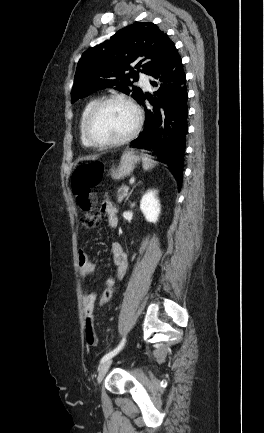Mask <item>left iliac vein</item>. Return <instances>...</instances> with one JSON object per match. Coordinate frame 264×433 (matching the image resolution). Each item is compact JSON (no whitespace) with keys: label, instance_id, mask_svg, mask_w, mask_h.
<instances>
[{"label":"left iliac vein","instance_id":"4c4485c4","mask_svg":"<svg viewBox=\"0 0 264 433\" xmlns=\"http://www.w3.org/2000/svg\"><path fill=\"white\" fill-rule=\"evenodd\" d=\"M112 364V359H108L105 362H103V364L101 365V367L99 368V372H98V376H97V382L98 384L101 383V381L103 380V378L105 377L108 369L110 368Z\"/></svg>","mask_w":264,"mask_h":433}]
</instances>
